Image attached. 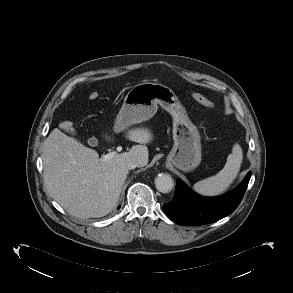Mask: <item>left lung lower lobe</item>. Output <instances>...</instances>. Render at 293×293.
I'll use <instances>...</instances> for the list:
<instances>
[{
  "instance_id": "0a47b994",
  "label": "left lung lower lobe",
  "mask_w": 293,
  "mask_h": 293,
  "mask_svg": "<svg viewBox=\"0 0 293 293\" xmlns=\"http://www.w3.org/2000/svg\"><path fill=\"white\" fill-rule=\"evenodd\" d=\"M251 172L233 191L219 197H201L178 181L175 194L163 205L165 214L175 223L185 226L216 222L232 213L240 204L248 186Z\"/></svg>"
}]
</instances>
